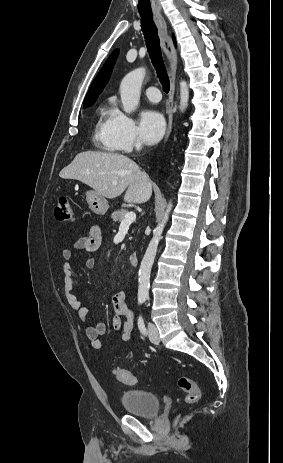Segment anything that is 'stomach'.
Here are the masks:
<instances>
[{"label":"stomach","instance_id":"obj_1","mask_svg":"<svg viewBox=\"0 0 283 463\" xmlns=\"http://www.w3.org/2000/svg\"><path fill=\"white\" fill-rule=\"evenodd\" d=\"M86 201L91 211L95 214L104 215L109 209V204L106 198L95 190H89L86 192Z\"/></svg>","mask_w":283,"mask_h":463}]
</instances>
